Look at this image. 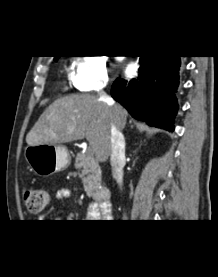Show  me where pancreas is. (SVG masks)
I'll return each instance as SVG.
<instances>
[{"label": "pancreas", "mask_w": 218, "mask_h": 277, "mask_svg": "<svg viewBox=\"0 0 218 277\" xmlns=\"http://www.w3.org/2000/svg\"><path fill=\"white\" fill-rule=\"evenodd\" d=\"M75 168L81 170L84 190L88 196H92L101 185V169L93 154H78L75 158Z\"/></svg>", "instance_id": "pancreas-1"}]
</instances>
